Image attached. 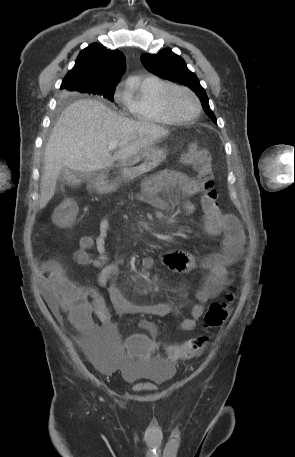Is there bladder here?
Listing matches in <instances>:
<instances>
[{"label":"bladder","instance_id":"31cf9c89","mask_svg":"<svg viewBox=\"0 0 295 457\" xmlns=\"http://www.w3.org/2000/svg\"><path fill=\"white\" fill-rule=\"evenodd\" d=\"M118 346V338H77V347H83V356H88L97 369L108 372L119 368L122 378L129 384L160 386L172 378L173 366L163 359L162 353L150 359L149 366H136L134 361L128 360L119 366Z\"/></svg>","mask_w":295,"mask_h":457}]
</instances>
